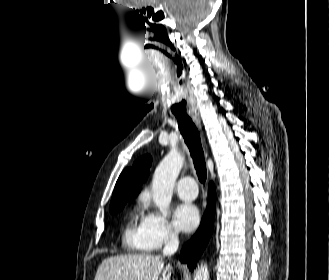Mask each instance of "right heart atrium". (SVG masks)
<instances>
[{
	"label": "right heart atrium",
	"instance_id": "d8ad5b80",
	"mask_svg": "<svg viewBox=\"0 0 329 280\" xmlns=\"http://www.w3.org/2000/svg\"><path fill=\"white\" fill-rule=\"evenodd\" d=\"M145 226L151 250H159L178 239V231L174 225L156 211H150L147 214Z\"/></svg>",
	"mask_w": 329,
	"mask_h": 280
}]
</instances>
